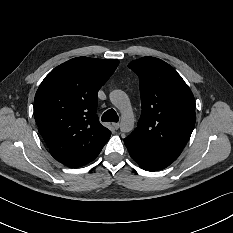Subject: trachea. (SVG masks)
Returning a JSON list of instances; mask_svg holds the SVG:
<instances>
[{
	"label": "trachea",
	"instance_id": "obj_1",
	"mask_svg": "<svg viewBox=\"0 0 233 233\" xmlns=\"http://www.w3.org/2000/svg\"><path fill=\"white\" fill-rule=\"evenodd\" d=\"M103 122H118L119 117L114 109L107 110L101 117Z\"/></svg>",
	"mask_w": 233,
	"mask_h": 233
}]
</instances>
